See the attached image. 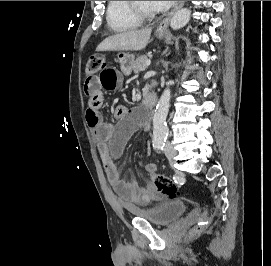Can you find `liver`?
Masks as SVG:
<instances>
[{"label": "liver", "mask_w": 271, "mask_h": 266, "mask_svg": "<svg viewBox=\"0 0 271 266\" xmlns=\"http://www.w3.org/2000/svg\"><path fill=\"white\" fill-rule=\"evenodd\" d=\"M152 29L131 30L107 37L96 51H138L144 49L150 39Z\"/></svg>", "instance_id": "obj_1"}]
</instances>
